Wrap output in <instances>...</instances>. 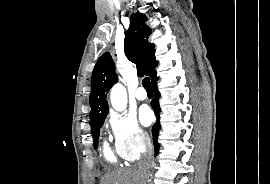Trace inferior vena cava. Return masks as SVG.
Segmentation results:
<instances>
[{
	"label": "inferior vena cava",
	"instance_id": "1",
	"mask_svg": "<svg viewBox=\"0 0 270 184\" xmlns=\"http://www.w3.org/2000/svg\"><path fill=\"white\" fill-rule=\"evenodd\" d=\"M144 153L142 159L138 163L139 169L149 170L151 167V159L153 155V147L149 139L143 140Z\"/></svg>",
	"mask_w": 270,
	"mask_h": 184
}]
</instances>
